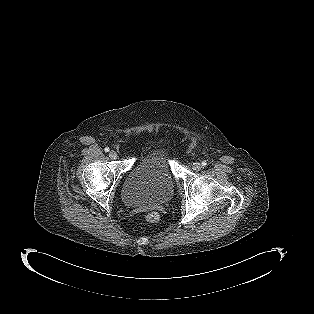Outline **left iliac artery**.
<instances>
[{"label": "left iliac artery", "mask_w": 314, "mask_h": 314, "mask_svg": "<svg viewBox=\"0 0 314 314\" xmlns=\"http://www.w3.org/2000/svg\"><path fill=\"white\" fill-rule=\"evenodd\" d=\"M207 165V162L206 161H203L202 162V166H206Z\"/></svg>", "instance_id": "obj_1"}]
</instances>
